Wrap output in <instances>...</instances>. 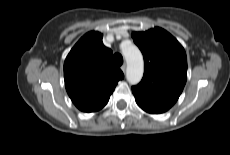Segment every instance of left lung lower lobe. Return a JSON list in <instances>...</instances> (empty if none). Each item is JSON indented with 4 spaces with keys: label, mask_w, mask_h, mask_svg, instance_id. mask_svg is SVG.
I'll use <instances>...</instances> for the list:
<instances>
[{
    "label": "left lung lower lobe",
    "mask_w": 230,
    "mask_h": 155,
    "mask_svg": "<svg viewBox=\"0 0 230 155\" xmlns=\"http://www.w3.org/2000/svg\"><path fill=\"white\" fill-rule=\"evenodd\" d=\"M135 100L141 109L150 114H160L169 110V107L143 97L135 96Z\"/></svg>",
    "instance_id": "1"
}]
</instances>
